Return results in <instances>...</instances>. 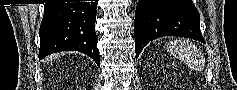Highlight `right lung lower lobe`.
Returning <instances> with one entry per match:
<instances>
[{
	"mask_svg": "<svg viewBox=\"0 0 237 90\" xmlns=\"http://www.w3.org/2000/svg\"><path fill=\"white\" fill-rule=\"evenodd\" d=\"M96 2L45 4L39 29V60L60 51L75 50L100 66L95 32Z\"/></svg>",
	"mask_w": 237,
	"mask_h": 90,
	"instance_id": "right-lung-lower-lobe-1",
	"label": "right lung lower lobe"
}]
</instances>
